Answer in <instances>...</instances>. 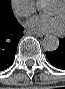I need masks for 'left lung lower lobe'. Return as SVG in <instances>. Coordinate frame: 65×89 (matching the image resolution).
<instances>
[{
  "instance_id": "0a47b994",
  "label": "left lung lower lobe",
  "mask_w": 65,
  "mask_h": 89,
  "mask_svg": "<svg viewBox=\"0 0 65 89\" xmlns=\"http://www.w3.org/2000/svg\"><path fill=\"white\" fill-rule=\"evenodd\" d=\"M46 57L54 67L65 70V37L59 39L57 50L46 53Z\"/></svg>"
}]
</instances>
